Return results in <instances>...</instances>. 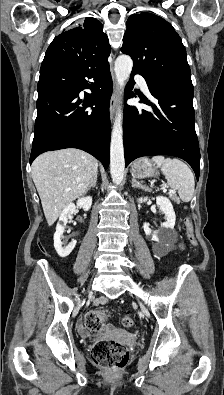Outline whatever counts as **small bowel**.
Wrapping results in <instances>:
<instances>
[{"label":"small bowel","mask_w":224,"mask_h":395,"mask_svg":"<svg viewBox=\"0 0 224 395\" xmlns=\"http://www.w3.org/2000/svg\"><path fill=\"white\" fill-rule=\"evenodd\" d=\"M180 247L182 248V245H181ZM99 301H100V302H104V301H106V299H105V298H101ZM78 329H79V332H80L82 335H87L86 330L83 328V326H82L80 323L78 324Z\"/></svg>","instance_id":"c3829d8e"}]
</instances>
